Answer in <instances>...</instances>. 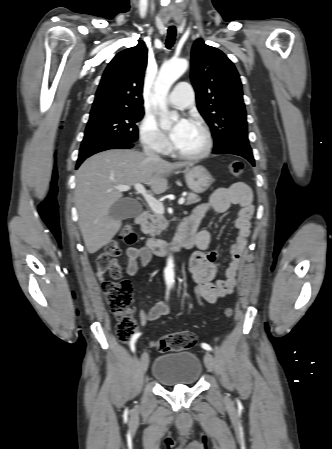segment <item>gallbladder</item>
I'll return each mask as SVG.
<instances>
[{
    "mask_svg": "<svg viewBox=\"0 0 332 449\" xmlns=\"http://www.w3.org/2000/svg\"><path fill=\"white\" fill-rule=\"evenodd\" d=\"M142 211L140 204L132 198H122L116 201L109 210L113 219H129L139 215Z\"/></svg>",
    "mask_w": 332,
    "mask_h": 449,
    "instance_id": "1",
    "label": "gallbladder"
}]
</instances>
